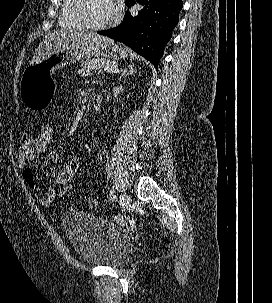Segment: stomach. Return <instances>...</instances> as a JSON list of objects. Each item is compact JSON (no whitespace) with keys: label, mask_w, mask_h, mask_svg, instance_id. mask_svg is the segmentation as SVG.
<instances>
[{"label":"stomach","mask_w":272,"mask_h":303,"mask_svg":"<svg viewBox=\"0 0 272 303\" xmlns=\"http://www.w3.org/2000/svg\"><path fill=\"white\" fill-rule=\"evenodd\" d=\"M128 55L127 49L112 40L53 53L47 59L29 65L24 70L20 81L21 101L27 109L31 110L42 109L49 105L54 92L52 75L58 68L90 56L119 60L127 58Z\"/></svg>","instance_id":"stomach-1"}]
</instances>
